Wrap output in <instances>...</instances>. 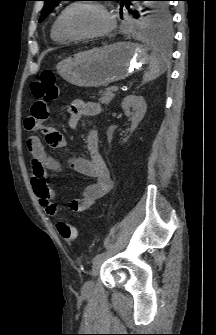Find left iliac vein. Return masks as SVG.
I'll return each instance as SVG.
<instances>
[{
    "mask_svg": "<svg viewBox=\"0 0 216 335\" xmlns=\"http://www.w3.org/2000/svg\"><path fill=\"white\" fill-rule=\"evenodd\" d=\"M102 264V259L96 261L93 264L92 270H91V278L86 281L82 287V294L83 295H89L92 292L93 286H94V278L98 275L100 267Z\"/></svg>",
    "mask_w": 216,
    "mask_h": 335,
    "instance_id": "4c4485c4",
    "label": "left iliac vein"
}]
</instances>
